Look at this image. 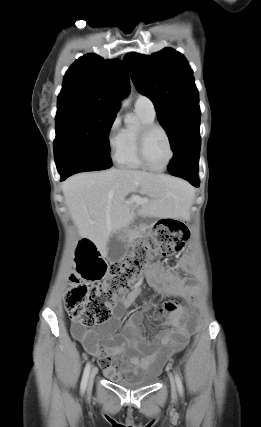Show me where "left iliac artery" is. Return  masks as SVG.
Here are the masks:
<instances>
[{"instance_id":"left-iliac-artery-1","label":"left iliac artery","mask_w":261,"mask_h":427,"mask_svg":"<svg viewBox=\"0 0 261 427\" xmlns=\"http://www.w3.org/2000/svg\"><path fill=\"white\" fill-rule=\"evenodd\" d=\"M175 380H176V384H177L179 394L182 395L183 394V384H182L181 378L178 375V373H175Z\"/></svg>"}]
</instances>
